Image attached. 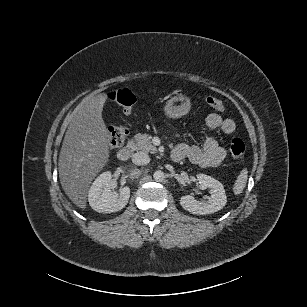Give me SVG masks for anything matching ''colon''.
I'll use <instances>...</instances> for the list:
<instances>
[{
  "mask_svg": "<svg viewBox=\"0 0 307 307\" xmlns=\"http://www.w3.org/2000/svg\"><path fill=\"white\" fill-rule=\"evenodd\" d=\"M108 98L111 101L119 104L123 108L124 112L127 114L131 112L136 102L135 93L131 89L126 87L111 91L108 94ZM205 102L211 108L219 112L225 111L224 103L220 99L214 96L205 97ZM127 135H128V129L124 125L110 127L108 131V142L110 147L118 148L122 146ZM230 152L233 158L238 163H241L245 153V144L243 140L240 138H234L230 143Z\"/></svg>",
  "mask_w": 307,
  "mask_h": 307,
  "instance_id": "obj_1",
  "label": "colon"
}]
</instances>
